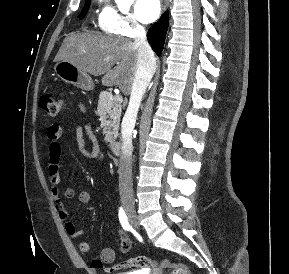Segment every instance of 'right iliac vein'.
<instances>
[{
	"instance_id": "63e3f726",
	"label": "right iliac vein",
	"mask_w": 289,
	"mask_h": 274,
	"mask_svg": "<svg viewBox=\"0 0 289 274\" xmlns=\"http://www.w3.org/2000/svg\"><path fill=\"white\" fill-rule=\"evenodd\" d=\"M123 205H124V209L125 212L131 222V224L138 229L139 225H138V220H137V215L136 212L134 210V207L131 203V201L127 198H123Z\"/></svg>"
}]
</instances>
